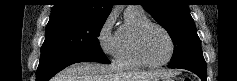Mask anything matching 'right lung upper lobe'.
<instances>
[{
  "instance_id": "obj_1",
  "label": "right lung upper lobe",
  "mask_w": 237,
  "mask_h": 81,
  "mask_svg": "<svg viewBox=\"0 0 237 81\" xmlns=\"http://www.w3.org/2000/svg\"><path fill=\"white\" fill-rule=\"evenodd\" d=\"M114 0H56L50 19L65 16H82L107 19Z\"/></svg>"
}]
</instances>
